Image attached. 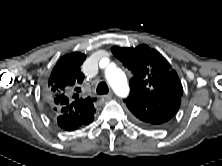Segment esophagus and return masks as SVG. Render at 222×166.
Wrapping results in <instances>:
<instances>
[{"label":"esophagus","instance_id":"esophagus-1","mask_svg":"<svg viewBox=\"0 0 222 166\" xmlns=\"http://www.w3.org/2000/svg\"><path fill=\"white\" fill-rule=\"evenodd\" d=\"M112 95H113L112 93H109L107 95L102 96V99L105 101L110 100L112 98Z\"/></svg>","mask_w":222,"mask_h":166}]
</instances>
